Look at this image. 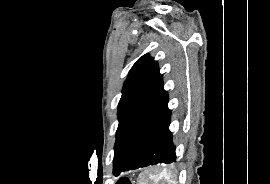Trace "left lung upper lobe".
<instances>
[{"mask_svg":"<svg viewBox=\"0 0 270 184\" xmlns=\"http://www.w3.org/2000/svg\"><path fill=\"white\" fill-rule=\"evenodd\" d=\"M168 94L156 61L145 54L131 68L118 105L119 125L114 147L113 173L157 113Z\"/></svg>","mask_w":270,"mask_h":184,"instance_id":"1","label":"left lung upper lobe"}]
</instances>
